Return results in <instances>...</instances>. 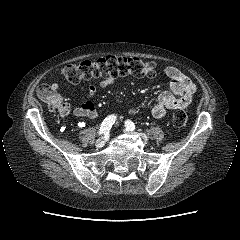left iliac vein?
<instances>
[{"label":"left iliac vein","mask_w":240,"mask_h":240,"mask_svg":"<svg viewBox=\"0 0 240 240\" xmlns=\"http://www.w3.org/2000/svg\"><path fill=\"white\" fill-rule=\"evenodd\" d=\"M124 132H126V133H131V134L135 133L134 131H130V130H127V129H124ZM138 136H139L144 142H147V141H148L146 135H144V134H142V133H139Z\"/></svg>","instance_id":"1"}]
</instances>
